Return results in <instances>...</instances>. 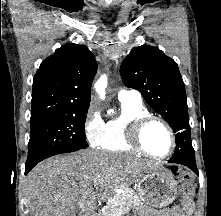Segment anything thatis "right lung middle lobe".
I'll return each mask as SVG.
<instances>
[{
  "label": "right lung middle lobe",
  "mask_w": 221,
  "mask_h": 216,
  "mask_svg": "<svg viewBox=\"0 0 221 216\" xmlns=\"http://www.w3.org/2000/svg\"><path fill=\"white\" fill-rule=\"evenodd\" d=\"M87 110L80 108L30 121L26 165L37 164L53 155L87 148L84 129Z\"/></svg>",
  "instance_id": "obj_1"
}]
</instances>
